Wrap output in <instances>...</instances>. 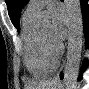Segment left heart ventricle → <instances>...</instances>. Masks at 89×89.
<instances>
[{
    "label": "left heart ventricle",
    "instance_id": "1",
    "mask_svg": "<svg viewBox=\"0 0 89 89\" xmlns=\"http://www.w3.org/2000/svg\"><path fill=\"white\" fill-rule=\"evenodd\" d=\"M40 29H41L43 35L45 36V38H46L48 41H50V42H52V43H55V42L53 41L52 37H51V25H50V23L41 26Z\"/></svg>",
    "mask_w": 89,
    "mask_h": 89
}]
</instances>
